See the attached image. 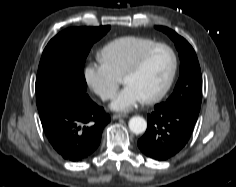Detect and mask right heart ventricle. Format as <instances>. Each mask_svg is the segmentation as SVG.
I'll list each match as a JSON object with an SVG mask.
<instances>
[{"instance_id":"1","label":"right heart ventricle","mask_w":236,"mask_h":187,"mask_svg":"<svg viewBox=\"0 0 236 187\" xmlns=\"http://www.w3.org/2000/svg\"><path fill=\"white\" fill-rule=\"evenodd\" d=\"M155 40L143 36H122L104 45L98 52L99 62L116 77L121 78L138 54Z\"/></svg>"}]
</instances>
